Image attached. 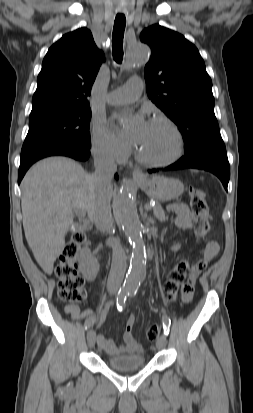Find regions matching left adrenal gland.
I'll use <instances>...</instances> for the list:
<instances>
[{"instance_id": "1", "label": "left adrenal gland", "mask_w": 253, "mask_h": 413, "mask_svg": "<svg viewBox=\"0 0 253 413\" xmlns=\"http://www.w3.org/2000/svg\"><path fill=\"white\" fill-rule=\"evenodd\" d=\"M146 217H147V215L144 214V218H146ZM148 221H149L151 224H154V220H153L152 218H148Z\"/></svg>"}]
</instances>
